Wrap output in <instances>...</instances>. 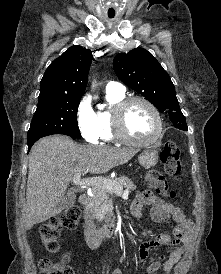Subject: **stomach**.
Masks as SVG:
<instances>
[{"mask_svg":"<svg viewBox=\"0 0 221 274\" xmlns=\"http://www.w3.org/2000/svg\"><path fill=\"white\" fill-rule=\"evenodd\" d=\"M158 158V151L153 148L145 149L138 156L139 163L145 168L155 166L158 162Z\"/></svg>","mask_w":221,"mask_h":274,"instance_id":"1","label":"stomach"}]
</instances>
